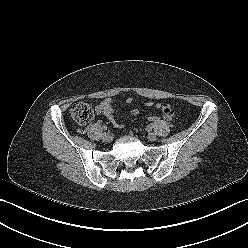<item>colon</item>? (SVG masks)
<instances>
[{"mask_svg":"<svg viewBox=\"0 0 248 248\" xmlns=\"http://www.w3.org/2000/svg\"><path fill=\"white\" fill-rule=\"evenodd\" d=\"M70 117L79 126L88 124L94 117V111L92 106L86 102H77L70 108ZM160 119L157 115H151L148 117L150 122H156Z\"/></svg>","mask_w":248,"mask_h":248,"instance_id":"5ec220e1","label":"colon"}]
</instances>
